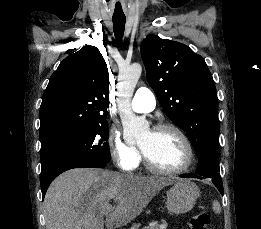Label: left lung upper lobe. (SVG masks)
<instances>
[{
    "label": "left lung upper lobe",
    "mask_w": 261,
    "mask_h": 229,
    "mask_svg": "<svg viewBox=\"0 0 261 229\" xmlns=\"http://www.w3.org/2000/svg\"><path fill=\"white\" fill-rule=\"evenodd\" d=\"M147 80L168 117L188 135L197 157L219 146L218 100L204 59L179 42L149 35L141 45Z\"/></svg>",
    "instance_id": "1"
}]
</instances>
